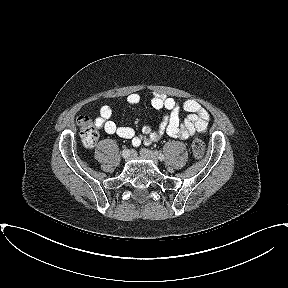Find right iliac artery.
I'll list each match as a JSON object with an SVG mask.
<instances>
[{
  "mask_svg": "<svg viewBox=\"0 0 288 288\" xmlns=\"http://www.w3.org/2000/svg\"><path fill=\"white\" fill-rule=\"evenodd\" d=\"M121 157L123 158L124 161H129L130 160V154L128 150H123L121 152Z\"/></svg>",
  "mask_w": 288,
  "mask_h": 288,
  "instance_id": "1",
  "label": "right iliac artery"
}]
</instances>
